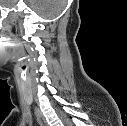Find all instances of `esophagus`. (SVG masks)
Segmentation results:
<instances>
[{"label":"esophagus","mask_w":127,"mask_h":126,"mask_svg":"<svg viewBox=\"0 0 127 126\" xmlns=\"http://www.w3.org/2000/svg\"><path fill=\"white\" fill-rule=\"evenodd\" d=\"M35 114H36L39 124L41 126H47V122H46L45 118L43 117L42 113L38 109H35Z\"/></svg>","instance_id":"esophagus-1"}]
</instances>
